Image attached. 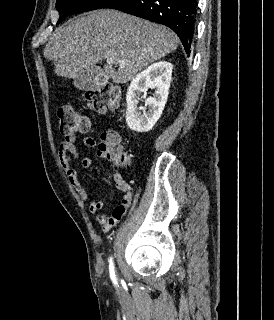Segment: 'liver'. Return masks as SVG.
I'll return each mask as SVG.
<instances>
[{
  "mask_svg": "<svg viewBox=\"0 0 274 320\" xmlns=\"http://www.w3.org/2000/svg\"><path fill=\"white\" fill-rule=\"evenodd\" d=\"M178 44V36L165 26L118 10H95L56 28L43 56L55 66L57 76L73 80L86 70L92 72L105 58H113L117 70L105 64L106 80L127 84L146 66L177 50Z\"/></svg>",
  "mask_w": 274,
  "mask_h": 320,
  "instance_id": "liver-1",
  "label": "liver"
}]
</instances>
